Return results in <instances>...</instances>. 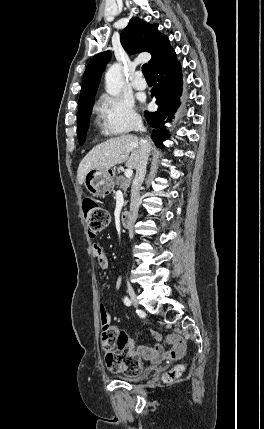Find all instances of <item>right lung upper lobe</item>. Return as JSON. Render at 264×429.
I'll return each mask as SVG.
<instances>
[{"mask_svg":"<svg viewBox=\"0 0 264 429\" xmlns=\"http://www.w3.org/2000/svg\"><path fill=\"white\" fill-rule=\"evenodd\" d=\"M157 27V24L151 25L133 17L120 36L121 44L128 53L144 51L152 55L149 71L172 50L168 38L161 34ZM110 58L111 53L105 51L96 54L88 63L83 76L78 107L94 101L101 74Z\"/></svg>","mask_w":264,"mask_h":429,"instance_id":"obj_1","label":"right lung upper lobe"}]
</instances>
